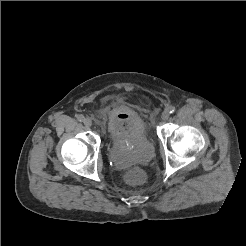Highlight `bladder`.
<instances>
[{
  "instance_id": "31cf9c89",
  "label": "bladder",
  "mask_w": 246,
  "mask_h": 246,
  "mask_svg": "<svg viewBox=\"0 0 246 246\" xmlns=\"http://www.w3.org/2000/svg\"><path fill=\"white\" fill-rule=\"evenodd\" d=\"M104 113L107 133L111 141L147 139V123L134 108L113 102L104 109ZM153 154V147L149 144L143 149L129 153L113 150L110 153V161L118 168H127L149 163Z\"/></svg>"
}]
</instances>
